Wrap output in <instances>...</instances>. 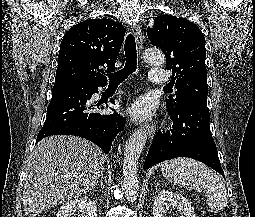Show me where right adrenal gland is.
<instances>
[{"label":"right adrenal gland","instance_id":"right-adrenal-gland-1","mask_svg":"<svg viewBox=\"0 0 255 217\" xmlns=\"http://www.w3.org/2000/svg\"><path fill=\"white\" fill-rule=\"evenodd\" d=\"M100 183L101 186L104 187V182H103V176L100 177L99 181H97L96 185Z\"/></svg>","mask_w":255,"mask_h":217}]
</instances>
